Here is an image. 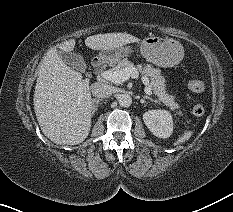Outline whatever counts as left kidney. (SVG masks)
<instances>
[{"label":"left kidney","instance_id":"1","mask_svg":"<svg viewBox=\"0 0 233 212\" xmlns=\"http://www.w3.org/2000/svg\"><path fill=\"white\" fill-rule=\"evenodd\" d=\"M148 129L159 138H168L173 132V120L166 110H149L143 114Z\"/></svg>","mask_w":233,"mask_h":212}]
</instances>
